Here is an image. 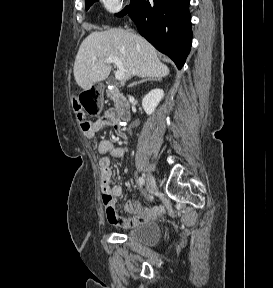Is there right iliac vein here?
Instances as JSON below:
<instances>
[{
	"mask_svg": "<svg viewBox=\"0 0 273 288\" xmlns=\"http://www.w3.org/2000/svg\"><path fill=\"white\" fill-rule=\"evenodd\" d=\"M147 186L150 190L156 189V181L152 174H148L146 177Z\"/></svg>",
	"mask_w": 273,
	"mask_h": 288,
	"instance_id": "1",
	"label": "right iliac vein"
}]
</instances>
